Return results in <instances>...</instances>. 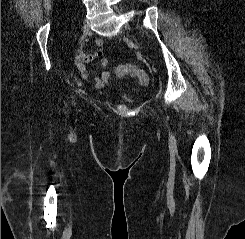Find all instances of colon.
Instances as JSON below:
<instances>
[{"label": "colon", "instance_id": "colon-1", "mask_svg": "<svg viewBox=\"0 0 245 239\" xmlns=\"http://www.w3.org/2000/svg\"><path fill=\"white\" fill-rule=\"evenodd\" d=\"M115 72L118 76L129 74L135 77L138 80V82L143 86H146L149 82L148 74L134 65L126 64L117 66L115 68Z\"/></svg>", "mask_w": 245, "mask_h": 239}]
</instances>
